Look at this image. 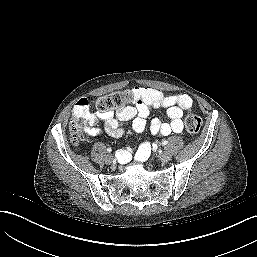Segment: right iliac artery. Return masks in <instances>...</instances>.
Returning a JSON list of instances; mask_svg holds the SVG:
<instances>
[{
	"instance_id": "82829eb1",
	"label": "right iliac artery",
	"mask_w": 257,
	"mask_h": 257,
	"mask_svg": "<svg viewBox=\"0 0 257 257\" xmlns=\"http://www.w3.org/2000/svg\"><path fill=\"white\" fill-rule=\"evenodd\" d=\"M111 151H112V149H111V148H107V152H109V153H110ZM116 154H117L116 156H117L118 158H119V157H120V155H121V154H119V153H116Z\"/></svg>"
}]
</instances>
